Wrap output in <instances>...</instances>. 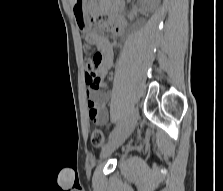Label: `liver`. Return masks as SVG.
Segmentation results:
<instances>
[{
	"mask_svg": "<svg viewBox=\"0 0 223 191\" xmlns=\"http://www.w3.org/2000/svg\"><path fill=\"white\" fill-rule=\"evenodd\" d=\"M73 2H74V0H71L72 5H73Z\"/></svg>",
	"mask_w": 223,
	"mask_h": 191,
	"instance_id": "1",
	"label": "liver"
}]
</instances>
